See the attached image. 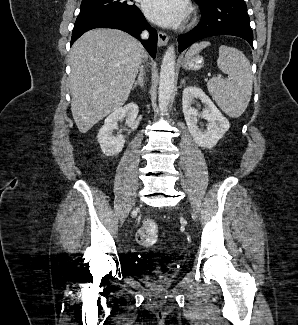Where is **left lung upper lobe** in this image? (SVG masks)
Instances as JSON below:
<instances>
[{
	"label": "left lung upper lobe",
	"mask_w": 298,
	"mask_h": 325,
	"mask_svg": "<svg viewBox=\"0 0 298 325\" xmlns=\"http://www.w3.org/2000/svg\"><path fill=\"white\" fill-rule=\"evenodd\" d=\"M194 1H196L199 5H204V4H206L210 1H213V0H194Z\"/></svg>",
	"instance_id": "5c2ea615"
}]
</instances>
